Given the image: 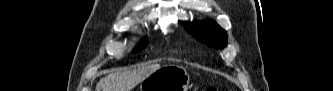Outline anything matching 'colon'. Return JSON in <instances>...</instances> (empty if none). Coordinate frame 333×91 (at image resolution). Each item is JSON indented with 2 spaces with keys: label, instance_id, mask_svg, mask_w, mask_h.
I'll return each mask as SVG.
<instances>
[{
  "label": "colon",
  "instance_id": "colon-1",
  "mask_svg": "<svg viewBox=\"0 0 333 91\" xmlns=\"http://www.w3.org/2000/svg\"><path fill=\"white\" fill-rule=\"evenodd\" d=\"M218 86L217 85H212V86H209L206 91H218Z\"/></svg>",
  "mask_w": 333,
  "mask_h": 91
}]
</instances>
